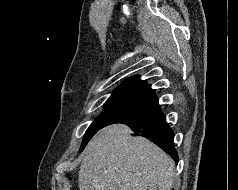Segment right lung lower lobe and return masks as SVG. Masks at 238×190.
I'll return each mask as SVG.
<instances>
[{"label":"right lung lower lobe","mask_w":238,"mask_h":190,"mask_svg":"<svg viewBox=\"0 0 238 190\" xmlns=\"http://www.w3.org/2000/svg\"><path fill=\"white\" fill-rule=\"evenodd\" d=\"M123 124L129 126L133 132L143 134L178 163V155L174 148V133L166 122L158 104L144 114L125 121Z\"/></svg>","instance_id":"obj_1"}]
</instances>
